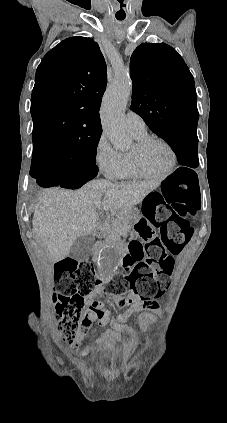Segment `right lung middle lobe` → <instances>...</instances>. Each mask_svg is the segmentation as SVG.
Listing matches in <instances>:
<instances>
[{
    "label": "right lung middle lobe",
    "instance_id": "obj_1",
    "mask_svg": "<svg viewBox=\"0 0 227 423\" xmlns=\"http://www.w3.org/2000/svg\"><path fill=\"white\" fill-rule=\"evenodd\" d=\"M101 134L86 136L73 144L61 147L42 148L33 150L30 175H39L40 165L47 161H58L60 165L75 170L78 174L96 176V149Z\"/></svg>",
    "mask_w": 227,
    "mask_h": 423
}]
</instances>
